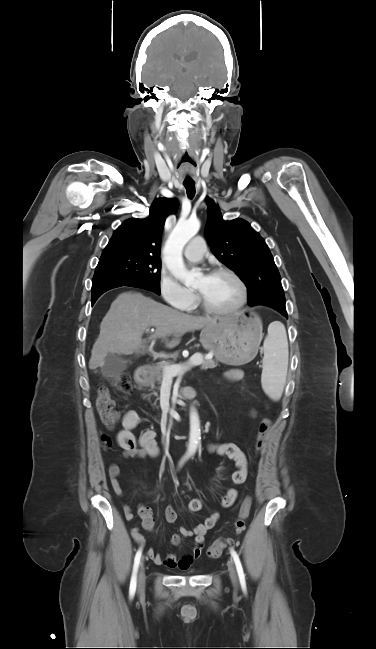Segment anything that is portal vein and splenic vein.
<instances>
[{
  "mask_svg": "<svg viewBox=\"0 0 376 649\" xmlns=\"http://www.w3.org/2000/svg\"><path fill=\"white\" fill-rule=\"evenodd\" d=\"M148 330L149 329H147V331ZM206 358L211 359L212 355H209ZM202 361H203V358L200 355L195 354L190 358L187 365L166 366V367H164V370H163L164 379L172 380L173 377L181 374L184 371L189 370L191 367L201 365Z\"/></svg>",
  "mask_w": 376,
  "mask_h": 649,
  "instance_id": "obj_1",
  "label": "portal vein and splenic vein"
}]
</instances>
